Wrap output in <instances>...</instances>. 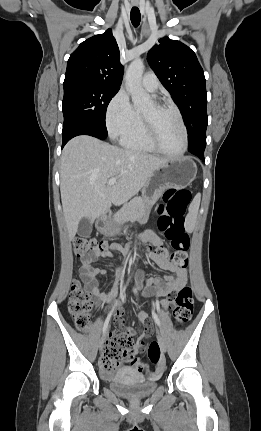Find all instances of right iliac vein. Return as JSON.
Wrapping results in <instances>:
<instances>
[{
  "instance_id": "right-iliac-vein-1",
  "label": "right iliac vein",
  "mask_w": 261,
  "mask_h": 431,
  "mask_svg": "<svg viewBox=\"0 0 261 431\" xmlns=\"http://www.w3.org/2000/svg\"><path fill=\"white\" fill-rule=\"evenodd\" d=\"M106 331H107V330H106ZM105 337H106V332L104 333V335H103L102 339H101V340H100V342H99V349H102L103 344H104V339H105Z\"/></svg>"
}]
</instances>
